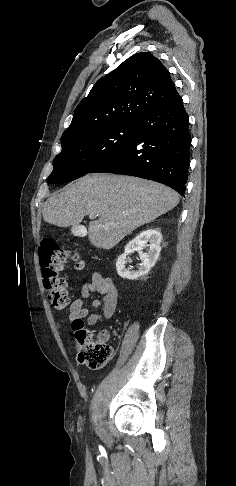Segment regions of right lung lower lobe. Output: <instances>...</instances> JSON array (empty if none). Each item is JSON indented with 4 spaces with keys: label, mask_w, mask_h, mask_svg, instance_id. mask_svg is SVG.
Returning a JSON list of instances; mask_svg holds the SVG:
<instances>
[{
    "label": "right lung lower lobe",
    "mask_w": 236,
    "mask_h": 486,
    "mask_svg": "<svg viewBox=\"0 0 236 486\" xmlns=\"http://www.w3.org/2000/svg\"><path fill=\"white\" fill-rule=\"evenodd\" d=\"M136 125L134 139L90 173L137 176L163 183L183 196L191 136L182 99L149 111Z\"/></svg>",
    "instance_id": "98d812e1"
}]
</instances>
